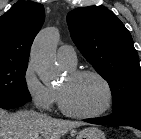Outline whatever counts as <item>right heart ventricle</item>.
<instances>
[{
  "label": "right heart ventricle",
  "mask_w": 141,
  "mask_h": 139,
  "mask_svg": "<svg viewBox=\"0 0 141 139\" xmlns=\"http://www.w3.org/2000/svg\"><path fill=\"white\" fill-rule=\"evenodd\" d=\"M56 95H57V100H58V94H57V91H56Z\"/></svg>",
  "instance_id": "1"
}]
</instances>
